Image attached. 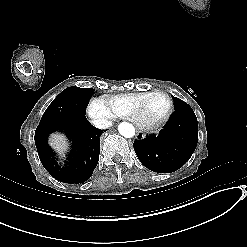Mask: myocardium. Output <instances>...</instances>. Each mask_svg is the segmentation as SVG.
Masks as SVG:
<instances>
[{"label":"myocardium","mask_w":247,"mask_h":247,"mask_svg":"<svg viewBox=\"0 0 247 247\" xmlns=\"http://www.w3.org/2000/svg\"><path fill=\"white\" fill-rule=\"evenodd\" d=\"M155 96L163 97L165 99V104L158 114L152 115L148 112V103ZM171 108H172V100L169 95H167L162 91L150 92L146 96L145 100L142 101L137 107V111L139 112V116H140L141 127L143 129H152L158 127L170 116Z\"/></svg>","instance_id":"myocardium-1"}]
</instances>
